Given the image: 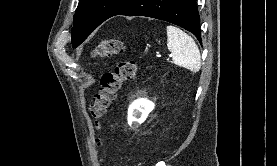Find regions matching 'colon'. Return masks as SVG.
<instances>
[{
    "instance_id": "1",
    "label": "colon",
    "mask_w": 277,
    "mask_h": 166,
    "mask_svg": "<svg viewBox=\"0 0 277 166\" xmlns=\"http://www.w3.org/2000/svg\"><path fill=\"white\" fill-rule=\"evenodd\" d=\"M124 51V44L117 38H106L101 40L93 49V57H111L121 54ZM137 64L134 60L121 61L113 71L103 74L101 86L95 94L90 105V115L96 128H100V122L107 112L112 101L116 98L123 83L134 78ZM100 147L102 141L96 139Z\"/></svg>"
}]
</instances>
